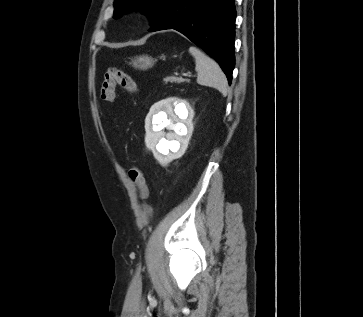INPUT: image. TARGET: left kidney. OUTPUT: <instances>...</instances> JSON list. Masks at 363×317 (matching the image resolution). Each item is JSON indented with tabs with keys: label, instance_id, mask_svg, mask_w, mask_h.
Segmentation results:
<instances>
[{
	"label": "left kidney",
	"instance_id": "left-kidney-1",
	"mask_svg": "<svg viewBox=\"0 0 363 317\" xmlns=\"http://www.w3.org/2000/svg\"><path fill=\"white\" fill-rule=\"evenodd\" d=\"M193 116L191 107L177 98L164 99L151 107L145 122V143L161 164L185 153L193 132ZM164 128L173 132L165 133Z\"/></svg>",
	"mask_w": 363,
	"mask_h": 317
}]
</instances>
